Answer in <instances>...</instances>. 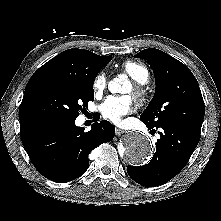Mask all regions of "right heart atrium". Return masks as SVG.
I'll use <instances>...</instances> for the list:
<instances>
[{
	"label": "right heart atrium",
	"instance_id": "obj_1",
	"mask_svg": "<svg viewBox=\"0 0 221 221\" xmlns=\"http://www.w3.org/2000/svg\"><path fill=\"white\" fill-rule=\"evenodd\" d=\"M107 87V77L104 72H99L92 83L93 92L96 97L101 96Z\"/></svg>",
	"mask_w": 221,
	"mask_h": 221
}]
</instances>
